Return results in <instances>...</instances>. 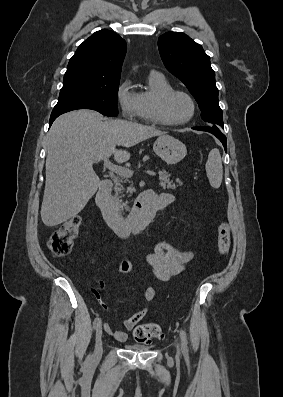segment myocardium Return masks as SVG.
Segmentation results:
<instances>
[{
  "label": "myocardium",
  "instance_id": "myocardium-1",
  "mask_svg": "<svg viewBox=\"0 0 283 397\" xmlns=\"http://www.w3.org/2000/svg\"><path fill=\"white\" fill-rule=\"evenodd\" d=\"M174 95H183L185 96L190 104H191V113L190 115L183 120L179 121H171L167 118L166 116V105L171 97ZM196 113V103L193 97L186 91L183 90H178V89H172L168 90L165 93H163L157 100L156 106H155V117L156 120L159 124L165 125V126H181L193 119Z\"/></svg>",
  "mask_w": 283,
  "mask_h": 397
}]
</instances>
